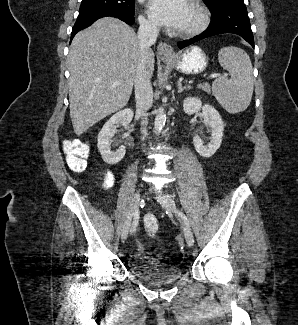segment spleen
<instances>
[{
	"instance_id": "obj_1",
	"label": "spleen",
	"mask_w": 298,
	"mask_h": 325,
	"mask_svg": "<svg viewBox=\"0 0 298 325\" xmlns=\"http://www.w3.org/2000/svg\"><path fill=\"white\" fill-rule=\"evenodd\" d=\"M218 60L230 78L218 76L212 82V94L227 112H242L249 106L253 94L254 78L249 54L238 46H224Z\"/></svg>"
}]
</instances>
